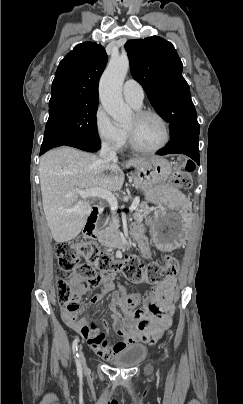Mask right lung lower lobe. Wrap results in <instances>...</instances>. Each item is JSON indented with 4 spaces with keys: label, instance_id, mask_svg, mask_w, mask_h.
I'll list each match as a JSON object with an SVG mask.
<instances>
[{
    "label": "right lung lower lobe",
    "instance_id": "right-lung-lower-lobe-1",
    "mask_svg": "<svg viewBox=\"0 0 243 404\" xmlns=\"http://www.w3.org/2000/svg\"><path fill=\"white\" fill-rule=\"evenodd\" d=\"M67 146L75 147L89 152H96L101 148V143L86 140H72L67 143Z\"/></svg>",
    "mask_w": 243,
    "mask_h": 404
}]
</instances>
